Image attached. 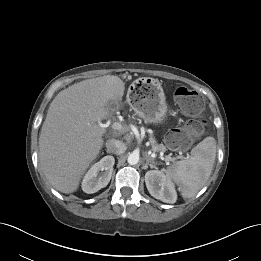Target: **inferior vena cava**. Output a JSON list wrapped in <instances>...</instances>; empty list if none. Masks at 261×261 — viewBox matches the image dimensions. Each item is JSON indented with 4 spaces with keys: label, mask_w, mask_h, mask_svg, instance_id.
<instances>
[{
    "label": "inferior vena cava",
    "mask_w": 261,
    "mask_h": 261,
    "mask_svg": "<svg viewBox=\"0 0 261 261\" xmlns=\"http://www.w3.org/2000/svg\"><path fill=\"white\" fill-rule=\"evenodd\" d=\"M106 148L108 153H113L116 155L123 154L126 151V145L115 139H110L106 142Z\"/></svg>",
    "instance_id": "602c4592"
}]
</instances>
